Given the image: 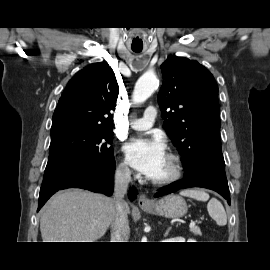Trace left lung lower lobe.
<instances>
[{
  "instance_id": "left-lung-lower-lobe-1",
  "label": "left lung lower lobe",
  "mask_w": 270,
  "mask_h": 270,
  "mask_svg": "<svg viewBox=\"0 0 270 270\" xmlns=\"http://www.w3.org/2000/svg\"><path fill=\"white\" fill-rule=\"evenodd\" d=\"M188 187H203L214 190L227 199L230 204V192L225 174L224 159L208 158L196 168L185 170L183 180L165 186L163 190L155 194V197Z\"/></svg>"
}]
</instances>
